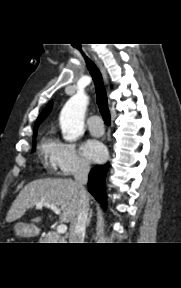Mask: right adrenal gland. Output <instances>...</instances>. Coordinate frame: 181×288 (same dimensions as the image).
<instances>
[{
    "label": "right adrenal gland",
    "mask_w": 181,
    "mask_h": 288,
    "mask_svg": "<svg viewBox=\"0 0 181 288\" xmlns=\"http://www.w3.org/2000/svg\"><path fill=\"white\" fill-rule=\"evenodd\" d=\"M92 214H93V212H92V209L90 210V212H89V217H88V220H87V227L89 226V224H90V221H91V217H92Z\"/></svg>",
    "instance_id": "1"
}]
</instances>
